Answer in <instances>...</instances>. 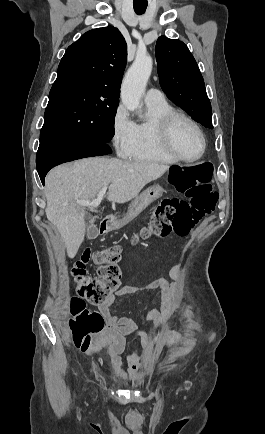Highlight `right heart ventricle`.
<instances>
[{
    "instance_id": "obj_1",
    "label": "right heart ventricle",
    "mask_w": 265,
    "mask_h": 434,
    "mask_svg": "<svg viewBox=\"0 0 265 434\" xmlns=\"http://www.w3.org/2000/svg\"><path fill=\"white\" fill-rule=\"evenodd\" d=\"M147 117L136 124V141L133 153L127 159L137 163L153 165H174L176 161L162 142V121L173 111L165 100L162 103H145Z\"/></svg>"
}]
</instances>
